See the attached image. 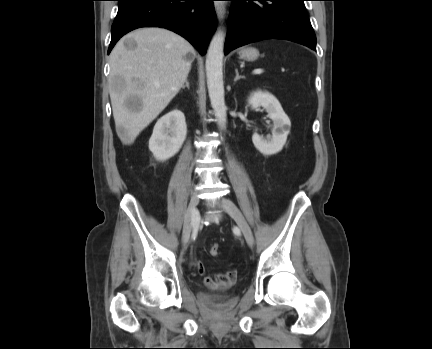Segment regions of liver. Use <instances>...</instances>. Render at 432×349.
<instances>
[{"label":"liver","mask_w":432,"mask_h":349,"mask_svg":"<svg viewBox=\"0 0 432 349\" xmlns=\"http://www.w3.org/2000/svg\"><path fill=\"white\" fill-rule=\"evenodd\" d=\"M129 39L136 42L134 49L125 46ZM194 57V48L183 37L156 27L134 30L115 45L110 54V99L124 145L133 144L175 97Z\"/></svg>","instance_id":"obj_1"}]
</instances>
